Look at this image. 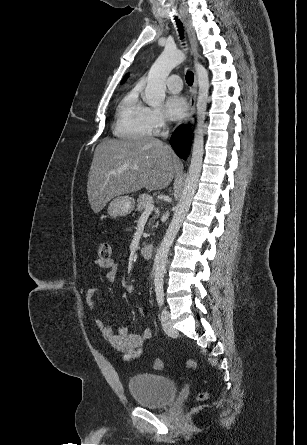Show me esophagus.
Masks as SVG:
<instances>
[{"label":"esophagus","mask_w":307,"mask_h":445,"mask_svg":"<svg viewBox=\"0 0 307 445\" xmlns=\"http://www.w3.org/2000/svg\"><path fill=\"white\" fill-rule=\"evenodd\" d=\"M179 11L183 18L185 28L187 30V34L189 37V42L191 45V53L194 56L195 60H199L200 56H199V52H198V43H197L194 28L192 27V24H191V21L187 15V12L185 11V9L182 6L179 7ZM197 88H198V80H197V75L195 74L193 87L191 89L189 110H188L187 115L184 119V123H188V122L194 120V114H195V108H196L195 105H196V97H197Z\"/></svg>","instance_id":"esophagus-1"}]
</instances>
